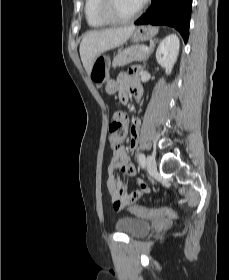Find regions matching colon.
Returning a JSON list of instances; mask_svg holds the SVG:
<instances>
[{
	"label": "colon",
	"mask_w": 229,
	"mask_h": 280,
	"mask_svg": "<svg viewBox=\"0 0 229 280\" xmlns=\"http://www.w3.org/2000/svg\"><path fill=\"white\" fill-rule=\"evenodd\" d=\"M127 132L126 116L122 113H117L109 125V147L111 150L119 146L125 138ZM133 198L117 199L114 204L118 208L125 209L129 207L133 213L141 217H152L157 215H172L173 211L168 208L163 209H146L142 207H135L132 205Z\"/></svg>",
	"instance_id": "5ec220e1"
}]
</instances>
